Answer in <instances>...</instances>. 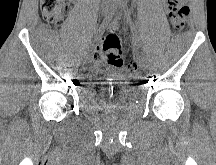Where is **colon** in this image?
<instances>
[{
	"label": "colon",
	"instance_id": "1",
	"mask_svg": "<svg viewBox=\"0 0 216 165\" xmlns=\"http://www.w3.org/2000/svg\"><path fill=\"white\" fill-rule=\"evenodd\" d=\"M170 9L169 16L172 28L181 30L189 15V7L185 0H168ZM43 18L52 25H60L64 16L71 9V0H40ZM103 53L100 52L96 59L100 61L101 68H116L123 66L122 46L117 32L108 33L103 40ZM102 59V61H101ZM128 70L132 73L137 71V65L131 63Z\"/></svg>",
	"mask_w": 216,
	"mask_h": 165
}]
</instances>
